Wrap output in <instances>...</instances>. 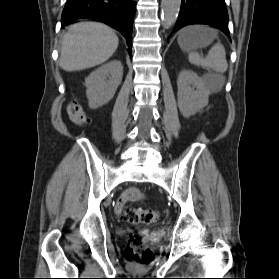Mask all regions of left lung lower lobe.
Segmentation results:
<instances>
[{
    "label": "left lung lower lobe",
    "instance_id": "0a47b994",
    "mask_svg": "<svg viewBox=\"0 0 279 279\" xmlns=\"http://www.w3.org/2000/svg\"><path fill=\"white\" fill-rule=\"evenodd\" d=\"M190 24H208L229 38L228 13L224 0H182L174 31Z\"/></svg>",
    "mask_w": 279,
    "mask_h": 279
}]
</instances>
